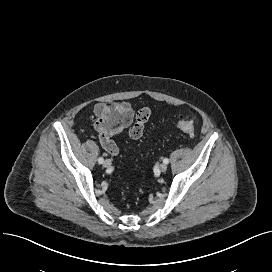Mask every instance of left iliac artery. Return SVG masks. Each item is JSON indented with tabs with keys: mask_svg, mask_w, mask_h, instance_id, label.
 Segmentation results:
<instances>
[{
	"mask_svg": "<svg viewBox=\"0 0 272 272\" xmlns=\"http://www.w3.org/2000/svg\"><path fill=\"white\" fill-rule=\"evenodd\" d=\"M163 162H164L165 164H168V163H169V159H168V158H165V159H163Z\"/></svg>",
	"mask_w": 272,
	"mask_h": 272,
	"instance_id": "obj_1",
	"label": "left iliac artery"
}]
</instances>
